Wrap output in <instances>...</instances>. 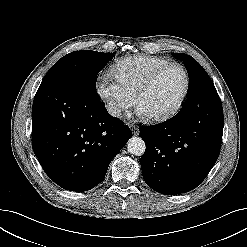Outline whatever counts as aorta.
<instances>
[{
    "label": "aorta",
    "mask_w": 247,
    "mask_h": 247,
    "mask_svg": "<svg viewBox=\"0 0 247 247\" xmlns=\"http://www.w3.org/2000/svg\"><path fill=\"white\" fill-rule=\"evenodd\" d=\"M127 148L131 154L141 156L145 152L146 145L141 137H132L127 142Z\"/></svg>",
    "instance_id": "762f6f07"
}]
</instances>
